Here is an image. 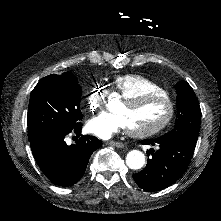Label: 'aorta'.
Segmentation results:
<instances>
[{
    "instance_id": "obj_1",
    "label": "aorta",
    "mask_w": 221,
    "mask_h": 221,
    "mask_svg": "<svg viewBox=\"0 0 221 221\" xmlns=\"http://www.w3.org/2000/svg\"><path fill=\"white\" fill-rule=\"evenodd\" d=\"M126 164L130 169H141L145 164V155L139 150H132L126 156Z\"/></svg>"
}]
</instances>
